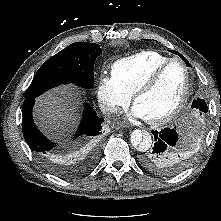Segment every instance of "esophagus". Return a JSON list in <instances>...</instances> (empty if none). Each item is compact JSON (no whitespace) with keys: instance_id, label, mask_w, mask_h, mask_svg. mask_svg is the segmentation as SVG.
Returning <instances> with one entry per match:
<instances>
[{"instance_id":"esophagus-1","label":"esophagus","mask_w":221,"mask_h":221,"mask_svg":"<svg viewBox=\"0 0 221 221\" xmlns=\"http://www.w3.org/2000/svg\"><path fill=\"white\" fill-rule=\"evenodd\" d=\"M111 125H112L113 128H116V129H120V128L126 127L125 123L118 122V121H114Z\"/></svg>"}]
</instances>
